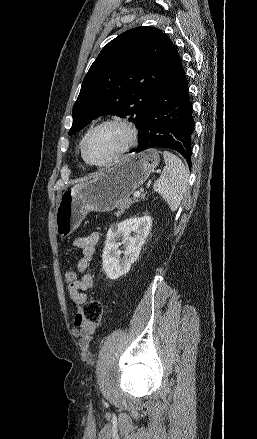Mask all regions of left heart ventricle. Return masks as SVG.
I'll list each match as a JSON object with an SVG mask.
<instances>
[{
    "label": "left heart ventricle",
    "instance_id": "left-heart-ventricle-1",
    "mask_svg": "<svg viewBox=\"0 0 257 439\" xmlns=\"http://www.w3.org/2000/svg\"><path fill=\"white\" fill-rule=\"evenodd\" d=\"M127 144V134L121 127L105 126L96 131L88 144V156L95 162H106Z\"/></svg>",
    "mask_w": 257,
    "mask_h": 439
}]
</instances>
